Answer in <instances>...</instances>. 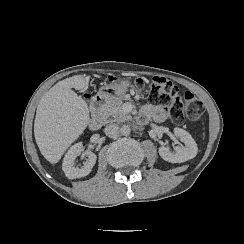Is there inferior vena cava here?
Masks as SVG:
<instances>
[{
	"label": "inferior vena cava",
	"mask_w": 244,
	"mask_h": 244,
	"mask_svg": "<svg viewBox=\"0 0 244 244\" xmlns=\"http://www.w3.org/2000/svg\"><path fill=\"white\" fill-rule=\"evenodd\" d=\"M119 133V125L110 123L105 127V134L109 137H115Z\"/></svg>",
	"instance_id": "602c4592"
}]
</instances>
